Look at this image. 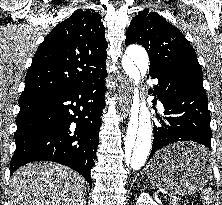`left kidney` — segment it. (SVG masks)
<instances>
[{
	"mask_svg": "<svg viewBox=\"0 0 222 205\" xmlns=\"http://www.w3.org/2000/svg\"><path fill=\"white\" fill-rule=\"evenodd\" d=\"M136 205H158L153 201V199L147 194L146 192H143L140 194Z\"/></svg>",
	"mask_w": 222,
	"mask_h": 205,
	"instance_id": "left-kidney-1",
	"label": "left kidney"
}]
</instances>
